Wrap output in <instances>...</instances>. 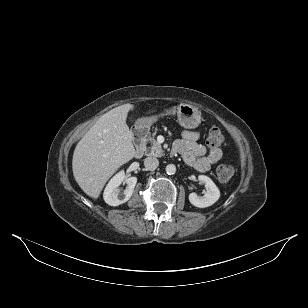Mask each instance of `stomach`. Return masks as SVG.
<instances>
[{
    "label": "stomach",
    "instance_id": "stomach-1",
    "mask_svg": "<svg viewBox=\"0 0 308 308\" xmlns=\"http://www.w3.org/2000/svg\"><path fill=\"white\" fill-rule=\"evenodd\" d=\"M177 113L179 124L187 129L196 128L201 122V112L197 107L189 104H180L176 109L167 111V113ZM157 120V116L146 117L138 120L137 125L140 128H149Z\"/></svg>",
    "mask_w": 308,
    "mask_h": 308
}]
</instances>
